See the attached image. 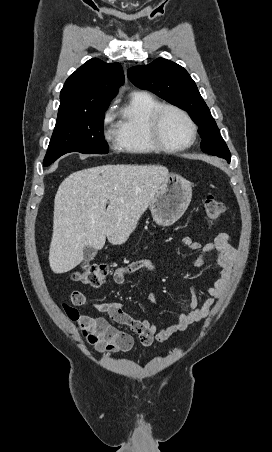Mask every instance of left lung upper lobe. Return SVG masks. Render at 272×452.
I'll return each instance as SVG.
<instances>
[{"instance_id": "5c2ea615", "label": "left lung upper lobe", "mask_w": 272, "mask_h": 452, "mask_svg": "<svg viewBox=\"0 0 272 452\" xmlns=\"http://www.w3.org/2000/svg\"><path fill=\"white\" fill-rule=\"evenodd\" d=\"M128 78L137 87L149 90L167 102L186 110L199 126L203 152L225 158L231 154L188 72L180 65L158 58L148 65L135 66L127 71Z\"/></svg>"}]
</instances>
